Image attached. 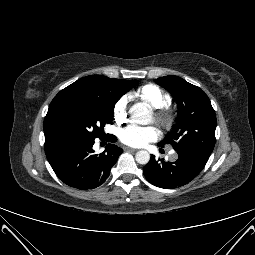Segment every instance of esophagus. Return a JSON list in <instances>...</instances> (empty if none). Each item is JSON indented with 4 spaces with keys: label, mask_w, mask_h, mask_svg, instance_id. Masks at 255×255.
Here are the masks:
<instances>
[{
    "label": "esophagus",
    "mask_w": 255,
    "mask_h": 255,
    "mask_svg": "<svg viewBox=\"0 0 255 255\" xmlns=\"http://www.w3.org/2000/svg\"><path fill=\"white\" fill-rule=\"evenodd\" d=\"M123 149H124V151H131V152L137 151L136 149L128 147V146L123 147Z\"/></svg>",
    "instance_id": "34e87169"
}]
</instances>
